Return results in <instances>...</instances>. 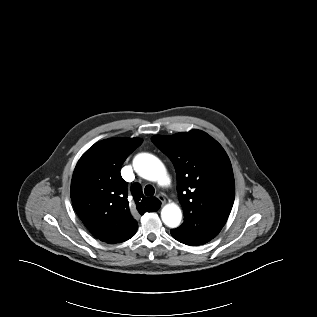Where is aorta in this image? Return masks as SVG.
Listing matches in <instances>:
<instances>
[{
  "label": "aorta",
  "instance_id": "obj_1",
  "mask_svg": "<svg viewBox=\"0 0 317 317\" xmlns=\"http://www.w3.org/2000/svg\"><path fill=\"white\" fill-rule=\"evenodd\" d=\"M133 166L138 174L147 180L158 181L165 177L163 163L153 154L141 153L137 155ZM161 219L170 228L178 227L182 219L180 207L174 203L165 205L161 210Z\"/></svg>",
  "mask_w": 317,
  "mask_h": 317
}]
</instances>
